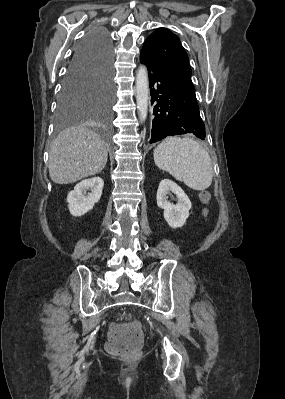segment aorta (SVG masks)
Masks as SVG:
<instances>
[{"instance_id": "1", "label": "aorta", "mask_w": 285, "mask_h": 399, "mask_svg": "<svg viewBox=\"0 0 285 399\" xmlns=\"http://www.w3.org/2000/svg\"><path fill=\"white\" fill-rule=\"evenodd\" d=\"M149 81L147 69L144 65L138 68L136 75V102L138 115L141 122H144L148 113Z\"/></svg>"}]
</instances>
